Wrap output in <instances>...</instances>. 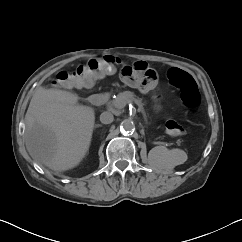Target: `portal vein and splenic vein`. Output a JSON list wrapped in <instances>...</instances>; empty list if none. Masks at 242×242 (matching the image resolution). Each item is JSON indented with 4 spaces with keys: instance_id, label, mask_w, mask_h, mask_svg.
<instances>
[{
    "instance_id": "18ae733b",
    "label": "portal vein and splenic vein",
    "mask_w": 242,
    "mask_h": 242,
    "mask_svg": "<svg viewBox=\"0 0 242 242\" xmlns=\"http://www.w3.org/2000/svg\"><path fill=\"white\" fill-rule=\"evenodd\" d=\"M138 111L141 112L145 116V112L141 106H139Z\"/></svg>"
}]
</instances>
